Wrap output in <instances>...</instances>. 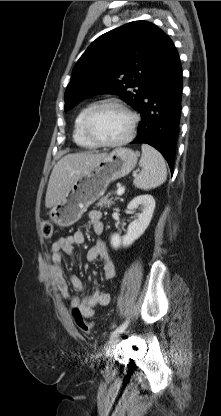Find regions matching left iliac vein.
<instances>
[{
    "mask_svg": "<svg viewBox=\"0 0 221 416\" xmlns=\"http://www.w3.org/2000/svg\"><path fill=\"white\" fill-rule=\"evenodd\" d=\"M119 338L117 336H112L106 344L105 350L111 352L118 344Z\"/></svg>",
    "mask_w": 221,
    "mask_h": 416,
    "instance_id": "obj_1",
    "label": "left iliac vein"
}]
</instances>
